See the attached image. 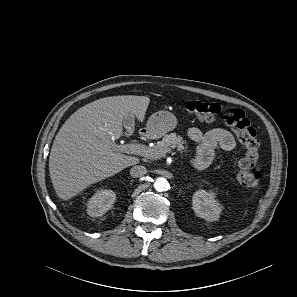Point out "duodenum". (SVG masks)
Wrapping results in <instances>:
<instances>
[{
    "instance_id": "duodenum-1",
    "label": "duodenum",
    "mask_w": 297,
    "mask_h": 297,
    "mask_svg": "<svg viewBox=\"0 0 297 297\" xmlns=\"http://www.w3.org/2000/svg\"><path fill=\"white\" fill-rule=\"evenodd\" d=\"M139 136L143 139H147L148 137L151 136V132L149 130H146V129H142L140 130L139 132Z\"/></svg>"
}]
</instances>
